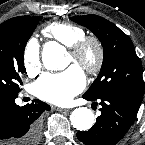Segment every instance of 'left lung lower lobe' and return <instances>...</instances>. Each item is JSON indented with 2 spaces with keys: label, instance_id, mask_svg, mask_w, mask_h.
I'll return each instance as SVG.
<instances>
[{
  "label": "left lung lower lobe",
  "instance_id": "0a47b994",
  "mask_svg": "<svg viewBox=\"0 0 145 145\" xmlns=\"http://www.w3.org/2000/svg\"><path fill=\"white\" fill-rule=\"evenodd\" d=\"M84 99H97L83 96ZM101 116L88 131L78 132V139L85 145H115L133 124L141 101L128 95H110L99 98Z\"/></svg>",
  "mask_w": 145,
  "mask_h": 145
}]
</instances>
